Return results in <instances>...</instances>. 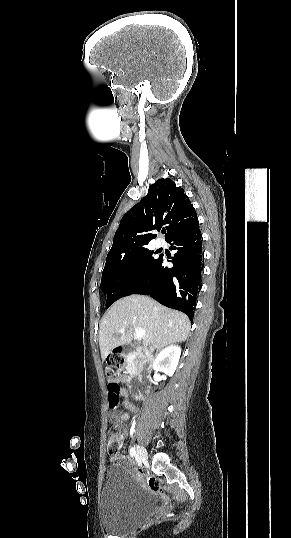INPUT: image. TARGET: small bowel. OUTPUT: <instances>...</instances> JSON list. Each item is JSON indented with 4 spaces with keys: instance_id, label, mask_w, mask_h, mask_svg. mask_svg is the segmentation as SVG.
<instances>
[{
    "instance_id": "obj_1",
    "label": "small bowel",
    "mask_w": 291,
    "mask_h": 538,
    "mask_svg": "<svg viewBox=\"0 0 291 538\" xmlns=\"http://www.w3.org/2000/svg\"><path fill=\"white\" fill-rule=\"evenodd\" d=\"M129 381V377L126 375H121L116 378L109 379V383H127ZM120 397L123 398V406L125 409L131 412H138V409L134 406V404L130 401L128 397V393L125 388L120 387L119 391ZM109 418L112 421V423L119 429L121 436L124 438L127 435L128 427L126 425V422L130 419V414L128 412H124L122 414H118L115 410L111 411L109 414ZM112 462H118L126 466H130L129 459L123 455V454H117L115 456H111Z\"/></svg>"
}]
</instances>
